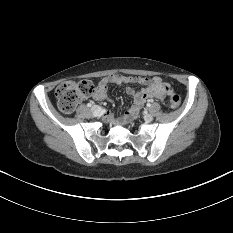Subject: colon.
I'll return each mask as SVG.
<instances>
[{
	"label": "colon",
	"instance_id": "5ec220e1",
	"mask_svg": "<svg viewBox=\"0 0 233 233\" xmlns=\"http://www.w3.org/2000/svg\"><path fill=\"white\" fill-rule=\"evenodd\" d=\"M95 92L93 83L89 80L69 81L56 88L55 95L59 109L63 113H71L77 104ZM180 105V97L173 94L170 97V106L176 109Z\"/></svg>",
	"mask_w": 233,
	"mask_h": 233
}]
</instances>
